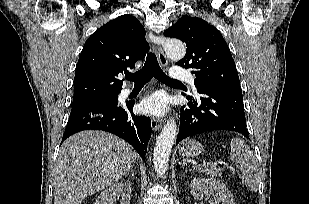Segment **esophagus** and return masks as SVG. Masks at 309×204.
<instances>
[{
	"instance_id": "34e87169",
	"label": "esophagus",
	"mask_w": 309,
	"mask_h": 204,
	"mask_svg": "<svg viewBox=\"0 0 309 204\" xmlns=\"http://www.w3.org/2000/svg\"><path fill=\"white\" fill-rule=\"evenodd\" d=\"M161 37H154L152 38V42H153V49L158 57V60H159V63L166 67L168 66V59L161 47ZM162 125V119H159V118H156V117H153L151 119V126H152V129L153 130H158Z\"/></svg>"
}]
</instances>
